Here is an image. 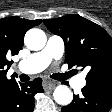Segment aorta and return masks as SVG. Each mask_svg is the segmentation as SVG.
Segmentation results:
<instances>
[{
	"instance_id": "aorta-1",
	"label": "aorta",
	"mask_w": 112,
	"mask_h": 112,
	"mask_svg": "<svg viewBox=\"0 0 112 112\" xmlns=\"http://www.w3.org/2000/svg\"><path fill=\"white\" fill-rule=\"evenodd\" d=\"M47 38L44 31L32 28L27 31L24 37L25 45L28 49L38 51L41 50L46 44ZM56 103L62 106L69 105L73 99V93L66 85H59L53 93Z\"/></svg>"
}]
</instances>
